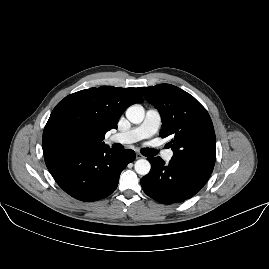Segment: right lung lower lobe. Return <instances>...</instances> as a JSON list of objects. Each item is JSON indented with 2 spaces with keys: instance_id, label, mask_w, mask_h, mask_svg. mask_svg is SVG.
I'll list each match as a JSON object with an SVG mask.
<instances>
[{
  "instance_id": "1",
  "label": "right lung lower lobe",
  "mask_w": 269,
  "mask_h": 269,
  "mask_svg": "<svg viewBox=\"0 0 269 269\" xmlns=\"http://www.w3.org/2000/svg\"><path fill=\"white\" fill-rule=\"evenodd\" d=\"M135 159L133 150L122 153L107 145L85 144L45 154V163L58 185L72 197L86 202L109 196L120 173Z\"/></svg>"
}]
</instances>
